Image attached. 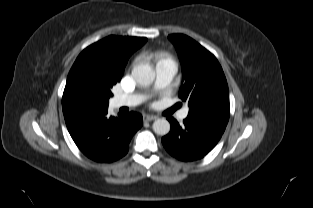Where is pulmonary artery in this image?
Masks as SVG:
<instances>
[{"mask_svg":"<svg viewBox=\"0 0 313 208\" xmlns=\"http://www.w3.org/2000/svg\"><path fill=\"white\" fill-rule=\"evenodd\" d=\"M176 71H177L176 65L170 60L158 63L155 68L156 72L155 89L159 90L169 86L176 74ZM145 98L146 96L141 93L118 94L112 98V105L115 108L135 106L141 103ZM187 115L188 110L184 109L180 114V119L186 118Z\"/></svg>","mask_w":313,"mask_h":208,"instance_id":"1","label":"pulmonary artery"}]
</instances>
